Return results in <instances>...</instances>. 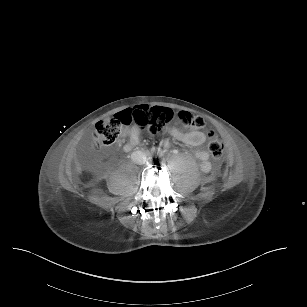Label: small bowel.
<instances>
[{"mask_svg": "<svg viewBox=\"0 0 307 307\" xmlns=\"http://www.w3.org/2000/svg\"><path fill=\"white\" fill-rule=\"evenodd\" d=\"M167 132L170 136H172L177 141H180L190 146H199L206 141V134L202 131L195 130V129L188 131V132H184L177 128L170 127L167 129ZM127 134L129 137V141L126 144L125 148L126 150H130L139 141V129H137L136 127H132V129H130ZM164 146L168 147L169 142L168 141L164 142ZM194 155L198 160L201 161V169L203 171H208L210 167L209 162H208L209 153L205 150H198L195 152Z\"/></svg>", "mask_w": 307, "mask_h": 307, "instance_id": "small-bowel-1", "label": "small bowel"}]
</instances>
